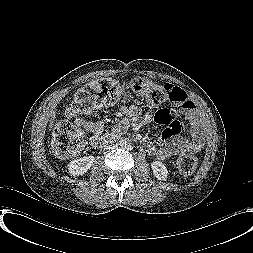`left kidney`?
Masks as SVG:
<instances>
[{
	"mask_svg": "<svg viewBox=\"0 0 253 253\" xmlns=\"http://www.w3.org/2000/svg\"><path fill=\"white\" fill-rule=\"evenodd\" d=\"M151 168L154 176L159 180H166L168 175V170L166 166L160 161H153L151 163Z\"/></svg>",
	"mask_w": 253,
	"mask_h": 253,
	"instance_id": "left-kidney-1",
	"label": "left kidney"
}]
</instances>
